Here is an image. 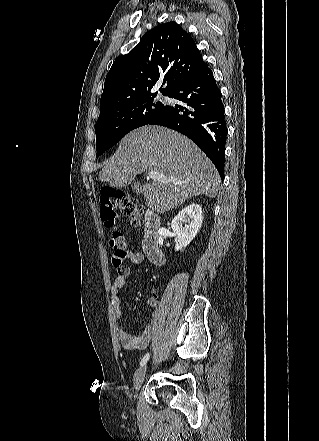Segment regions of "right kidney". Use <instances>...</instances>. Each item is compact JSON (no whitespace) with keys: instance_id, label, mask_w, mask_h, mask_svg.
Returning <instances> with one entry per match:
<instances>
[{"instance_id":"ca27d5eb","label":"right kidney","mask_w":319,"mask_h":441,"mask_svg":"<svg viewBox=\"0 0 319 441\" xmlns=\"http://www.w3.org/2000/svg\"><path fill=\"white\" fill-rule=\"evenodd\" d=\"M202 221V208L196 203L189 204L173 218L171 228L177 236L176 251L185 248L195 238Z\"/></svg>"}]
</instances>
